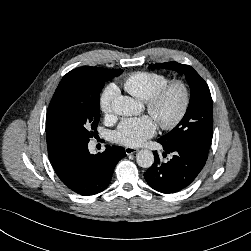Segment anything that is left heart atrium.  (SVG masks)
Here are the masks:
<instances>
[{"mask_svg": "<svg viewBox=\"0 0 251 251\" xmlns=\"http://www.w3.org/2000/svg\"><path fill=\"white\" fill-rule=\"evenodd\" d=\"M156 133V124L152 117L141 116L136 118L124 119L114 134L117 143L136 147L145 140L151 138Z\"/></svg>", "mask_w": 251, "mask_h": 251, "instance_id": "left-heart-atrium-1", "label": "left heart atrium"}]
</instances>
